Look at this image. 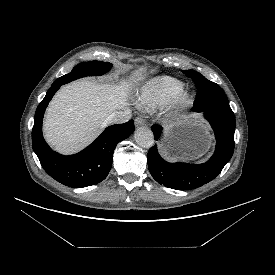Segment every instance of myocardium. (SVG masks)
I'll list each match as a JSON object with an SVG mask.
<instances>
[{"label": "myocardium", "mask_w": 275, "mask_h": 275, "mask_svg": "<svg viewBox=\"0 0 275 275\" xmlns=\"http://www.w3.org/2000/svg\"><path fill=\"white\" fill-rule=\"evenodd\" d=\"M190 105V94L181 90L175 97L169 102L167 108V114L170 117H177L183 111H185Z\"/></svg>", "instance_id": "myocardium-1"}]
</instances>
